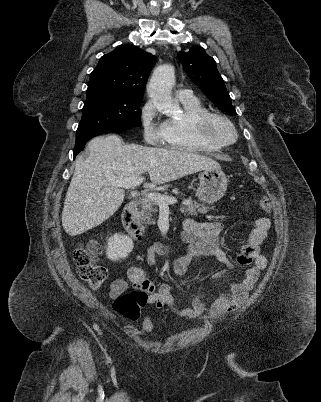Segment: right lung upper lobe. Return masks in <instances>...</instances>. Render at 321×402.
<instances>
[{"label":"right lung upper lobe","instance_id":"1","mask_svg":"<svg viewBox=\"0 0 321 402\" xmlns=\"http://www.w3.org/2000/svg\"><path fill=\"white\" fill-rule=\"evenodd\" d=\"M155 57L132 45H122L105 54L90 75L87 91L102 90L143 98V89Z\"/></svg>","mask_w":321,"mask_h":402}]
</instances>
